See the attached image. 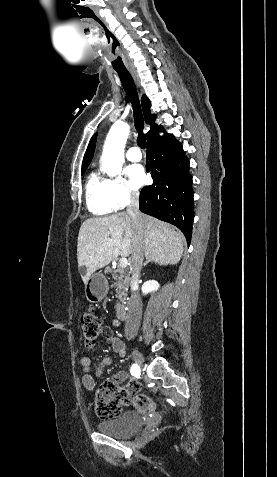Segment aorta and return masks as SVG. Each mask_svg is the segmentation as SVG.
<instances>
[{
    "instance_id": "762f6f07",
    "label": "aorta",
    "mask_w": 277,
    "mask_h": 477,
    "mask_svg": "<svg viewBox=\"0 0 277 477\" xmlns=\"http://www.w3.org/2000/svg\"><path fill=\"white\" fill-rule=\"evenodd\" d=\"M130 128L126 123L115 122L107 137L102 153V169L108 176L118 175L124 161V147Z\"/></svg>"
}]
</instances>
